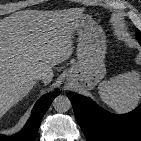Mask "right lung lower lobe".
<instances>
[{"label": "right lung lower lobe", "instance_id": "98d812e1", "mask_svg": "<svg viewBox=\"0 0 141 141\" xmlns=\"http://www.w3.org/2000/svg\"><path fill=\"white\" fill-rule=\"evenodd\" d=\"M59 95V91L45 94L35 104L31 117L21 132L12 137L0 135V141H34L43 116L50 107L53 99Z\"/></svg>", "mask_w": 141, "mask_h": 141}]
</instances>
